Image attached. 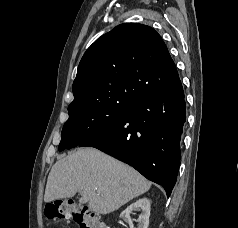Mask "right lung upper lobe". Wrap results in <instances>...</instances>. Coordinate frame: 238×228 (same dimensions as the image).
Segmentation results:
<instances>
[{"mask_svg": "<svg viewBox=\"0 0 238 228\" xmlns=\"http://www.w3.org/2000/svg\"><path fill=\"white\" fill-rule=\"evenodd\" d=\"M179 80L166 45L153 28L121 24L98 38L83 55L68 113L98 104H129Z\"/></svg>", "mask_w": 238, "mask_h": 228, "instance_id": "cb5924a9", "label": "right lung upper lobe"}]
</instances>
